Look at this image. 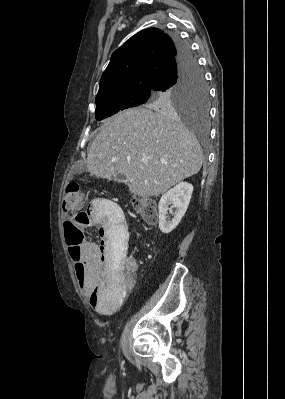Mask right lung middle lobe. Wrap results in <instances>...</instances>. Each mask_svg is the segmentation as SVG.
Listing matches in <instances>:
<instances>
[{
  "label": "right lung middle lobe",
  "mask_w": 285,
  "mask_h": 399,
  "mask_svg": "<svg viewBox=\"0 0 285 399\" xmlns=\"http://www.w3.org/2000/svg\"><path fill=\"white\" fill-rule=\"evenodd\" d=\"M139 105L167 114L178 111L205 124L209 111L208 88L198 64L187 69L174 86L164 90L131 89L96 98L95 117L100 121Z\"/></svg>",
  "instance_id": "1"
}]
</instances>
